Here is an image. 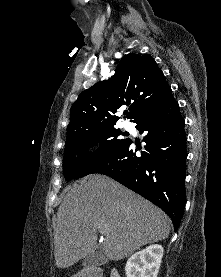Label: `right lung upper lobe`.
Returning <instances> with one entry per match:
<instances>
[{"label": "right lung upper lobe", "mask_w": 221, "mask_h": 277, "mask_svg": "<svg viewBox=\"0 0 221 277\" xmlns=\"http://www.w3.org/2000/svg\"><path fill=\"white\" fill-rule=\"evenodd\" d=\"M170 89L153 58L129 54L120 61L111 78L83 91L74 102L67 139L82 131L115 125L119 117L114 114L124 105H130L128 118L133 122Z\"/></svg>", "instance_id": "obj_1"}]
</instances>
